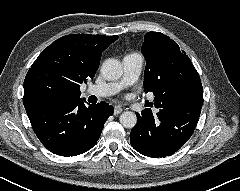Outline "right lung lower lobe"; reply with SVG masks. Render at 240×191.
Wrapping results in <instances>:
<instances>
[{
    "instance_id": "obj_1",
    "label": "right lung lower lobe",
    "mask_w": 240,
    "mask_h": 191,
    "mask_svg": "<svg viewBox=\"0 0 240 191\" xmlns=\"http://www.w3.org/2000/svg\"><path fill=\"white\" fill-rule=\"evenodd\" d=\"M25 109L40 142L60 156H76L90 150L113 114V108L105 102L86 107L82 99L40 102Z\"/></svg>"
}]
</instances>
